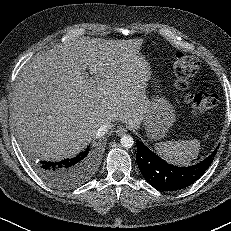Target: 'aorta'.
I'll return each mask as SVG.
<instances>
[{
	"label": "aorta",
	"instance_id": "1",
	"mask_svg": "<svg viewBox=\"0 0 231 231\" xmlns=\"http://www.w3.org/2000/svg\"><path fill=\"white\" fill-rule=\"evenodd\" d=\"M120 143L124 148H131L134 144V139L130 135H123L120 139Z\"/></svg>",
	"mask_w": 231,
	"mask_h": 231
}]
</instances>
